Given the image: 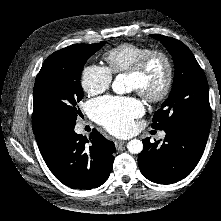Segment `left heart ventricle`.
Segmentation results:
<instances>
[{"label": "left heart ventricle", "instance_id": "left-heart-ventricle-1", "mask_svg": "<svg viewBox=\"0 0 221 221\" xmlns=\"http://www.w3.org/2000/svg\"><path fill=\"white\" fill-rule=\"evenodd\" d=\"M164 72L163 62L156 60L142 77L128 76L130 87L133 90L143 88L147 92H155L162 84Z\"/></svg>", "mask_w": 221, "mask_h": 221}]
</instances>
